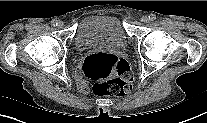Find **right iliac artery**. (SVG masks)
Returning a JSON list of instances; mask_svg holds the SVG:
<instances>
[{"label": "right iliac artery", "mask_w": 207, "mask_h": 123, "mask_svg": "<svg viewBox=\"0 0 207 123\" xmlns=\"http://www.w3.org/2000/svg\"><path fill=\"white\" fill-rule=\"evenodd\" d=\"M51 25L54 26V27H55V26H58V21L55 20V19L52 20V21H51Z\"/></svg>", "instance_id": "obj_1"}]
</instances>
